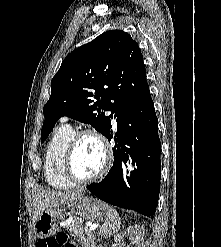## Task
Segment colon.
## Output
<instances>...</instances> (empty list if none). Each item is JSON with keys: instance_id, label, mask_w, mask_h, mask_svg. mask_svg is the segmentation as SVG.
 Wrapping results in <instances>:
<instances>
[{"instance_id": "colon-1", "label": "colon", "mask_w": 221, "mask_h": 247, "mask_svg": "<svg viewBox=\"0 0 221 247\" xmlns=\"http://www.w3.org/2000/svg\"><path fill=\"white\" fill-rule=\"evenodd\" d=\"M68 245L70 244L65 234H58L39 244L40 247H67Z\"/></svg>"}]
</instances>
